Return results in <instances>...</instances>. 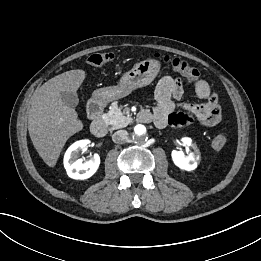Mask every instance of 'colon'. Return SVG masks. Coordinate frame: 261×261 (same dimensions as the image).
I'll return each mask as SVG.
<instances>
[{
    "label": "colon",
    "mask_w": 261,
    "mask_h": 261,
    "mask_svg": "<svg viewBox=\"0 0 261 261\" xmlns=\"http://www.w3.org/2000/svg\"><path fill=\"white\" fill-rule=\"evenodd\" d=\"M114 59V55L109 52H98L90 54L87 57V63L91 66H101L105 63H108ZM164 61L172 67L175 71L182 74L190 80H197L200 77V72L195 67L191 66L187 61L171 57L164 56ZM227 143V137L224 134L216 135L211 142L212 148L215 150H221L225 147Z\"/></svg>",
    "instance_id": "colon-1"
}]
</instances>
